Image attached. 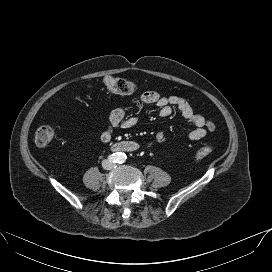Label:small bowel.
I'll use <instances>...</instances> for the list:
<instances>
[{"mask_svg":"<svg viewBox=\"0 0 272 272\" xmlns=\"http://www.w3.org/2000/svg\"><path fill=\"white\" fill-rule=\"evenodd\" d=\"M139 101L142 104H155L160 108L159 115L161 117H169L177 110L185 119L195 126L187 137L190 140H200L207 135L208 132L215 130V125L207 120L201 114L196 113L191 105L183 98L178 96H166L155 91L143 92ZM137 124V118L134 116H126V108L117 107L112 110L109 118L107 119L106 126L102 130L100 138L103 142H109L114 130L118 127L130 129ZM165 133L158 131L155 135V143L162 144L165 142Z\"/></svg>","mask_w":272,"mask_h":272,"instance_id":"obj_1","label":"small bowel"}]
</instances>
